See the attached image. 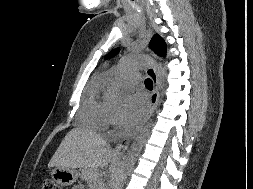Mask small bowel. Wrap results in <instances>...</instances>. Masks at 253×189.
Instances as JSON below:
<instances>
[{"label": "small bowel", "mask_w": 253, "mask_h": 189, "mask_svg": "<svg viewBox=\"0 0 253 189\" xmlns=\"http://www.w3.org/2000/svg\"><path fill=\"white\" fill-rule=\"evenodd\" d=\"M73 189H83V187L82 186H75Z\"/></svg>", "instance_id": "obj_1"}]
</instances>
